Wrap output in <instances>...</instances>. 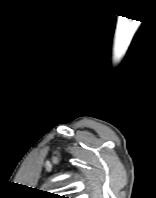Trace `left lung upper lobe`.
Listing matches in <instances>:
<instances>
[{"instance_id": "5c2ea615", "label": "left lung upper lobe", "mask_w": 156, "mask_h": 198, "mask_svg": "<svg viewBox=\"0 0 156 198\" xmlns=\"http://www.w3.org/2000/svg\"><path fill=\"white\" fill-rule=\"evenodd\" d=\"M51 197H54V198H67V197L59 196V195L58 196L57 195L56 196H51Z\"/></svg>"}]
</instances>
